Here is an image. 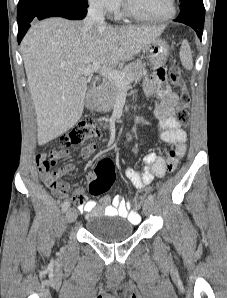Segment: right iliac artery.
I'll list each match as a JSON object with an SVG mask.
<instances>
[{
    "instance_id": "obj_1",
    "label": "right iliac artery",
    "mask_w": 227,
    "mask_h": 298,
    "mask_svg": "<svg viewBox=\"0 0 227 298\" xmlns=\"http://www.w3.org/2000/svg\"><path fill=\"white\" fill-rule=\"evenodd\" d=\"M69 207H70V202L69 201L64 202L62 206L63 212H65Z\"/></svg>"
}]
</instances>
